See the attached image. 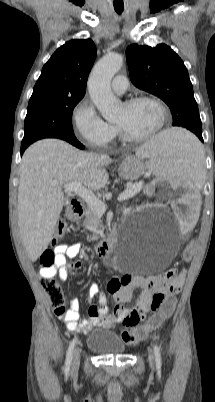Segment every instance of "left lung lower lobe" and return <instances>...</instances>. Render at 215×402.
<instances>
[{
    "mask_svg": "<svg viewBox=\"0 0 215 402\" xmlns=\"http://www.w3.org/2000/svg\"><path fill=\"white\" fill-rule=\"evenodd\" d=\"M198 138H199V139H200V140L203 142V138H202V136H199Z\"/></svg>",
    "mask_w": 215,
    "mask_h": 402,
    "instance_id": "0a47b994",
    "label": "left lung lower lobe"
}]
</instances>
